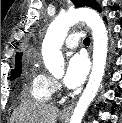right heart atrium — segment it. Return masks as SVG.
Masks as SVG:
<instances>
[{
	"instance_id": "obj_1",
	"label": "right heart atrium",
	"mask_w": 122,
	"mask_h": 123,
	"mask_svg": "<svg viewBox=\"0 0 122 123\" xmlns=\"http://www.w3.org/2000/svg\"><path fill=\"white\" fill-rule=\"evenodd\" d=\"M50 82H51V88L53 92H56L60 89V84L58 83V81H56L53 78H50Z\"/></svg>"
}]
</instances>
